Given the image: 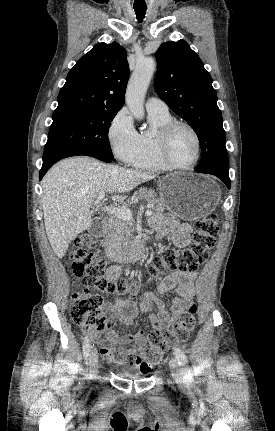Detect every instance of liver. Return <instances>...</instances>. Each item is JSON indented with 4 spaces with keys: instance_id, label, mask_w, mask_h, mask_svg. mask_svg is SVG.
<instances>
[{
    "instance_id": "liver-1",
    "label": "liver",
    "mask_w": 275,
    "mask_h": 431,
    "mask_svg": "<svg viewBox=\"0 0 275 431\" xmlns=\"http://www.w3.org/2000/svg\"><path fill=\"white\" fill-rule=\"evenodd\" d=\"M155 175L104 164L88 157L64 159L54 165L42 181V207L49 243L62 258L78 234L91 224V203L101 191L115 201Z\"/></svg>"
}]
</instances>
